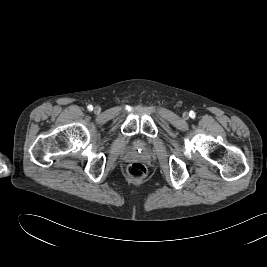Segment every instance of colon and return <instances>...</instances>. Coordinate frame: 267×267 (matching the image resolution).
I'll return each instance as SVG.
<instances>
[{"label":"colon","mask_w":267,"mask_h":267,"mask_svg":"<svg viewBox=\"0 0 267 267\" xmlns=\"http://www.w3.org/2000/svg\"><path fill=\"white\" fill-rule=\"evenodd\" d=\"M127 172L133 180H142L147 174V169L144 164L135 162L129 165Z\"/></svg>","instance_id":"obj_1"}]
</instances>
